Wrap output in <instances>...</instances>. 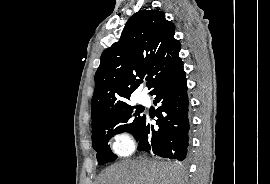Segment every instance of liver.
Listing matches in <instances>:
<instances>
[{"label":"liver","instance_id":"obj_1","mask_svg":"<svg viewBox=\"0 0 270 184\" xmlns=\"http://www.w3.org/2000/svg\"><path fill=\"white\" fill-rule=\"evenodd\" d=\"M178 164L156 160H133L114 164L103 171L98 184H184Z\"/></svg>","mask_w":270,"mask_h":184}]
</instances>
